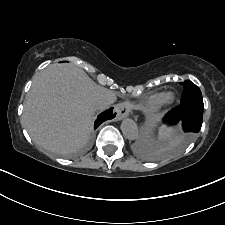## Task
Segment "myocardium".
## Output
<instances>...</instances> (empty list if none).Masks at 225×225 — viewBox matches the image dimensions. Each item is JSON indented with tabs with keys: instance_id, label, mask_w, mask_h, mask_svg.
I'll use <instances>...</instances> for the list:
<instances>
[{
	"instance_id": "myocardium-1",
	"label": "myocardium",
	"mask_w": 225,
	"mask_h": 225,
	"mask_svg": "<svg viewBox=\"0 0 225 225\" xmlns=\"http://www.w3.org/2000/svg\"><path fill=\"white\" fill-rule=\"evenodd\" d=\"M174 94L172 92L163 93L159 102L158 107H164L171 104L174 101Z\"/></svg>"
}]
</instances>
